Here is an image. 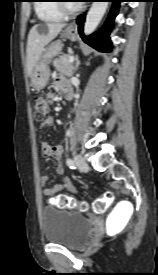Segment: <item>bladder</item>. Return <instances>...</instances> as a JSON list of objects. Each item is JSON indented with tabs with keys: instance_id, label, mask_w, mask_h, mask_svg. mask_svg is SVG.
Wrapping results in <instances>:
<instances>
[{
	"instance_id": "31cf9c89",
	"label": "bladder",
	"mask_w": 158,
	"mask_h": 275,
	"mask_svg": "<svg viewBox=\"0 0 158 275\" xmlns=\"http://www.w3.org/2000/svg\"><path fill=\"white\" fill-rule=\"evenodd\" d=\"M44 239L67 248L81 246L91 235V222L75 211L45 207L42 211Z\"/></svg>"
}]
</instances>
